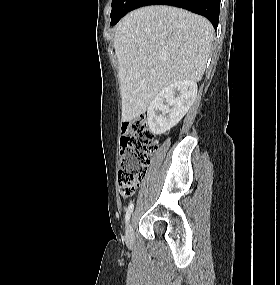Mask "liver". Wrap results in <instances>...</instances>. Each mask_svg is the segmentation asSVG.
Instances as JSON below:
<instances>
[{
  "label": "liver",
  "mask_w": 280,
  "mask_h": 285,
  "mask_svg": "<svg viewBox=\"0 0 280 285\" xmlns=\"http://www.w3.org/2000/svg\"><path fill=\"white\" fill-rule=\"evenodd\" d=\"M211 23L168 6L128 13L117 25L114 48L122 98V120L145 113L165 87L202 79L213 41Z\"/></svg>",
  "instance_id": "liver-1"
}]
</instances>
